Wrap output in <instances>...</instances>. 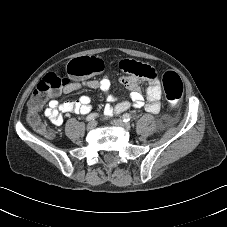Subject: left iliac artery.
<instances>
[{"label":"left iliac artery","instance_id":"obj_1","mask_svg":"<svg viewBox=\"0 0 227 227\" xmlns=\"http://www.w3.org/2000/svg\"><path fill=\"white\" fill-rule=\"evenodd\" d=\"M123 120H124V122L130 121L131 120V115L130 114H124L123 115Z\"/></svg>","mask_w":227,"mask_h":227}]
</instances>
